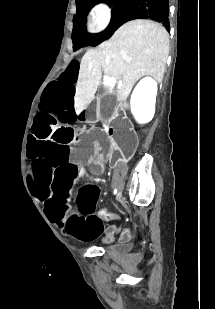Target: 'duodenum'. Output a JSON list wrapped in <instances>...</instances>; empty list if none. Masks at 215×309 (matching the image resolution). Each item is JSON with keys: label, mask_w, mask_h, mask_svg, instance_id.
<instances>
[{"label": "duodenum", "mask_w": 215, "mask_h": 309, "mask_svg": "<svg viewBox=\"0 0 215 309\" xmlns=\"http://www.w3.org/2000/svg\"><path fill=\"white\" fill-rule=\"evenodd\" d=\"M108 132H109V135L112 134V128H111V126H108Z\"/></svg>", "instance_id": "obj_1"}]
</instances>
